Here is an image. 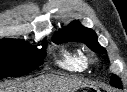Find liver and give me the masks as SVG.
<instances>
[{"mask_svg": "<svg viewBox=\"0 0 127 92\" xmlns=\"http://www.w3.org/2000/svg\"><path fill=\"white\" fill-rule=\"evenodd\" d=\"M84 85V82L76 78L46 75L20 83L7 92H75Z\"/></svg>", "mask_w": 127, "mask_h": 92, "instance_id": "1", "label": "liver"}]
</instances>
